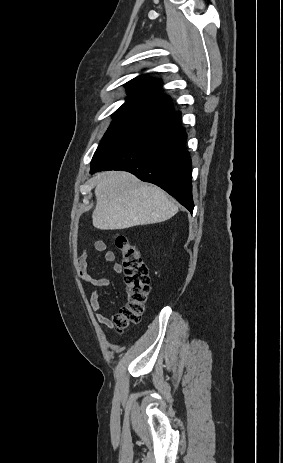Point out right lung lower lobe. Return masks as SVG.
I'll list each match as a JSON object with an SVG mask.
<instances>
[{"instance_id": "1", "label": "right lung lower lobe", "mask_w": 283, "mask_h": 463, "mask_svg": "<svg viewBox=\"0 0 283 463\" xmlns=\"http://www.w3.org/2000/svg\"><path fill=\"white\" fill-rule=\"evenodd\" d=\"M180 112L171 111L130 132L93 156L91 173L125 170L158 185L191 213V159Z\"/></svg>"}]
</instances>
